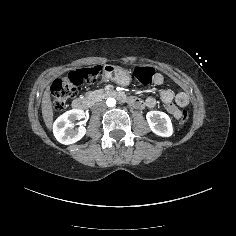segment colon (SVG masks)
Returning a JSON list of instances; mask_svg holds the SVG:
<instances>
[{
  "mask_svg": "<svg viewBox=\"0 0 236 236\" xmlns=\"http://www.w3.org/2000/svg\"><path fill=\"white\" fill-rule=\"evenodd\" d=\"M101 68L93 66L90 68H81L56 79L51 87L52 105L56 111H62L70 98H72L78 87L83 82H95L100 74ZM155 71L150 67H138L134 70V77L142 84H149L155 77ZM180 121L185 123L188 121L189 115L184 111L180 115Z\"/></svg>",
  "mask_w": 236,
  "mask_h": 236,
  "instance_id": "obj_1",
  "label": "colon"
}]
</instances>
